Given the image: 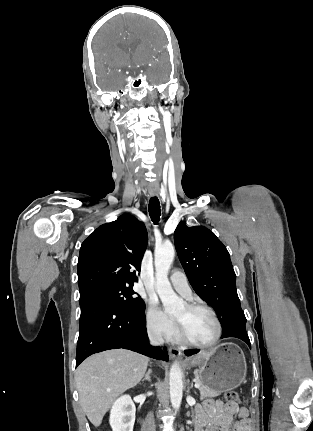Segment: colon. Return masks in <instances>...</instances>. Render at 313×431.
I'll use <instances>...</instances> for the list:
<instances>
[{
  "instance_id": "1",
  "label": "colon",
  "mask_w": 313,
  "mask_h": 431,
  "mask_svg": "<svg viewBox=\"0 0 313 431\" xmlns=\"http://www.w3.org/2000/svg\"><path fill=\"white\" fill-rule=\"evenodd\" d=\"M225 400L228 405H234L239 403V395L236 391H228L225 394Z\"/></svg>"
}]
</instances>
